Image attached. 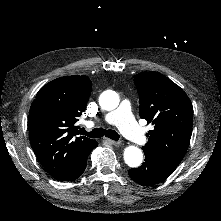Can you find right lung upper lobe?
Masks as SVG:
<instances>
[{
	"label": "right lung upper lobe",
	"mask_w": 221,
	"mask_h": 221,
	"mask_svg": "<svg viewBox=\"0 0 221 221\" xmlns=\"http://www.w3.org/2000/svg\"><path fill=\"white\" fill-rule=\"evenodd\" d=\"M92 89L87 76H64L43 86L28 118L32 149L55 179L72 170L94 147L95 140L74 137L78 117L85 111Z\"/></svg>",
	"instance_id": "obj_1"
}]
</instances>
